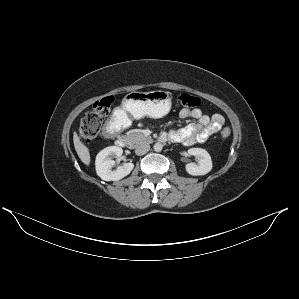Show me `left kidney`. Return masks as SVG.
I'll return each mask as SVG.
<instances>
[{
    "label": "left kidney",
    "mask_w": 299,
    "mask_h": 299,
    "mask_svg": "<svg viewBox=\"0 0 299 299\" xmlns=\"http://www.w3.org/2000/svg\"><path fill=\"white\" fill-rule=\"evenodd\" d=\"M188 154L197 158L198 165L188 163L185 166L186 171L193 176L205 175L212 170V160L209 153L202 148H190Z\"/></svg>",
    "instance_id": "obj_1"
}]
</instances>
